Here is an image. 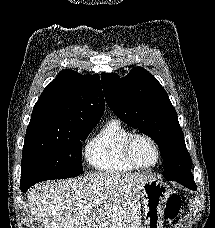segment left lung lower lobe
<instances>
[{
    "instance_id": "1",
    "label": "left lung lower lobe",
    "mask_w": 215,
    "mask_h": 228,
    "mask_svg": "<svg viewBox=\"0 0 215 228\" xmlns=\"http://www.w3.org/2000/svg\"><path fill=\"white\" fill-rule=\"evenodd\" d=\"M167 180H172V181H177L180 184L184 185L185 187L191 189V190H196L197 187L195 185V182L193 180V175L190 176H185L181 178H166Z\"/></svg>"
}]
</instances>
